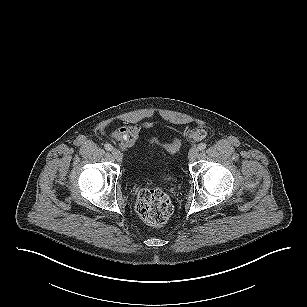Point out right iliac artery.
Masks as SVG:
<instances>
[{
	"label": "right iliac artery",
	"instance_id": "obj_1",
	"mask_svg": "<svg viewBox=\"0 0 307 307\" xmlns=\"http://www.w3.org/2000/svg\"><path fill=\"white\" fill-rule=\"evenodd\" d=\"M105 149L107 150V151H111L112 149H113V146L111 145V144H105Z\"/></svg>",
	"mask_w": 307,
	"mask_h": 307
}]
</instances>
